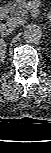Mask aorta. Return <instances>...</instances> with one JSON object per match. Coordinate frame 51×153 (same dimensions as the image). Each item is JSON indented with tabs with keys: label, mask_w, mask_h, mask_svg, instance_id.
<instances>
[{
	"label": "aorta",
	"mask_w": 51,
	"mask_h": 153,
	"mask_svg": "<svg viewBox=\"0 0 51 153\" xmlns=\"http://www.w3.org/2000/svg\"><path fill=\"white\" fill-rule=\"evenodd\" d=\"M24 40L28 43H36L42 37V29L39 25H28L23 33Z\"/></svg>",
	"instance_id": "obj_1"
}]
</instances>
